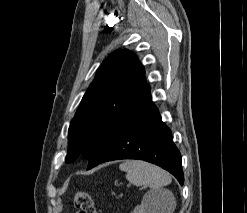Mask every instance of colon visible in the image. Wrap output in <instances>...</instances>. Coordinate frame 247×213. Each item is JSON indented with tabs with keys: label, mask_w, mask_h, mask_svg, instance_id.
Masks as SVG:
<instances>
[{
	"label": "colon",
	"mask_w": 247,
	"mask_h": 213,
	"mask_svg": "<svg viewBox=\"0 0 247 213\" xmlns=\"http://www.w3.org/2000/svg\"><path fill=\"white\" fill-rule=\"evenodd\" d=\"M73 202L78 213H97L93 198L85 191L75 193Z\"/></svg>",
	"instance_id": "obj_1"
}]
</instances>
